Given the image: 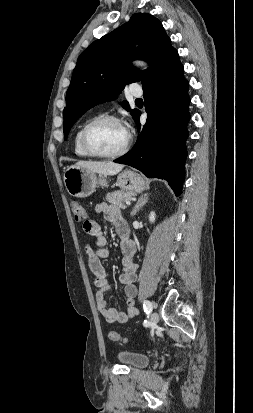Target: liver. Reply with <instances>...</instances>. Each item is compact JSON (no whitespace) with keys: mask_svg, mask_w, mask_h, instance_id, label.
<instances>
[{"mask_svg":"<svg viewBox=\"0 0 253 413\" xmlns=\"http://www.w3.org/2000/svg\"><path fill=\"white\" fill-rule=\"evenodd\" d=\"M76 166L84 168L90 172L102 175H115L119 173L124 165L114 162L78 161Z\"/></svg>","mask_w":253,"mask_h":413,"instance_id":"liver-1","label":"liver"}]
</instances>
